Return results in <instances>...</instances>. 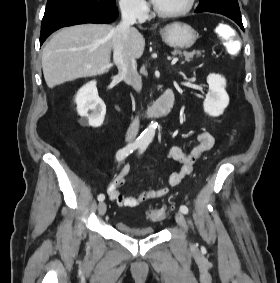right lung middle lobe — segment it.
Here are the masks:
<instances>
[{"label":"right lung middle lobe","mask_w":280,"mask_h":283,"mask_svg":"<svg viewBox=\"0 0 280 283\" xmlns=\"http://www.w3.org/2000/svg\"><path fill=\"white\" fill-rule=\"evenodd\" d=\"M115 0H47L45 13L68 8L109 9Z\"/></svg>","instance_id":"dd1d6c3e"}]
</instances>
